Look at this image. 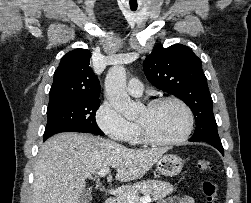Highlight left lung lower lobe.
Wrapping results in <instances>:
<instances>
[{
    "label": "left lung lower lobe",
    "mask_w": 251,
    "mask_h": 203,
    "mask_svg": "<svg viewBox=\"0 0 251 203\" xmlns=\"http://www.w3.org/2000/svg\"><path fill=\"white\" fill-rule=\"evenodd\" d=\"M189 141H193V140L189 139ZM204 142L209 143L210 145L218 149L222 155H224V149L221 142H212V141H204Z\"/></svg>",
    "instance_id": "obj_1"
}]
</instances>
